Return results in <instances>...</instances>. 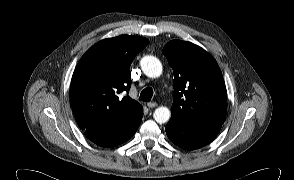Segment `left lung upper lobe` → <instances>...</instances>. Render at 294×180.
I'll use <instances>...</instances> for the list:
<instances>
[{
	"instance_id": "left-lung-upper-lobe-1",
	"label": "left lung upper lobe",
	"mask_w": 294,
	"mask_h": 180,
	"mask_svg": "<svg viewBox=\"0 0 294 180\" xmlns=\"http://www.w3.org/2000/svg\"><path fill=\"white\" fill-rule=\"evenodd\" d=\"M174 71L171 117L190 126L223 125L227 92L215 59L201 47L172 40L163 48Z\"/></svg>"
}]
</instances>
